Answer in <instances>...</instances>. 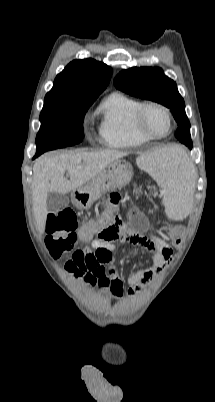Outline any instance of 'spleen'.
Wrapping results in <instances>:
<instances>
[{"label": "spleen", "mask_w": 215, "mask_h": 402, "mask_svg": "<svg viewBox=\"0 0 215 402\" xmlns=\"http://www.w3.org/2000/svg\"><path fill=\"white\" fill-rule=\"evenodd\" d=\"M138 162L143 170L166 188L161 209L172 219L180 220L184 215H191L190 197L195 195L194 178L199 177V170L192 169L191 159L187 158L182 146L165 147L141 157Z\"/></svg>", "instance_id": "obj_1"}]
</instances>
